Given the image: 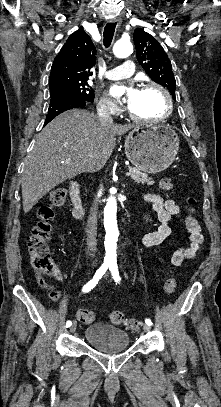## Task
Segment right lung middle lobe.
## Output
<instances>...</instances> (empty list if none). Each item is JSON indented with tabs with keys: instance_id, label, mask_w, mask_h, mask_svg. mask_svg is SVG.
Returning <instances> with one entry per match:
<instances>
[{
	"instance_id": "1",
	"label": "right lung middle lobe",
	"mask_w": 221,
	"mask_h": 407,
	"mask_svg": "<svg viewBox=\"0 0 221 407\" xmlns=\"http://www.w3.org/2000/svg\"><path fill=\"white\" fill-rule=\"evenodd\" d=\"M50 96V102L65 98L84 99L89 102L94 101V92L87 82H79L50 90Z\"/></svg>"
}]
</instances>
